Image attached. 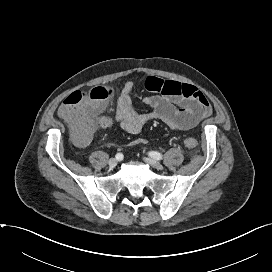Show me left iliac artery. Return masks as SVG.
<instances>
[{
	"mask_svg": "<svg viewBox=\"0 0 272 272\" xmlns=\"http://www.w3.org/2000/svg\"><path fill=\"white\" fill-rule=\"evenodd\" d=\"M149 156H151L153 159H156V160H161L162 159V154L157 152V151L149 152Z\"/></svg>",
	"mask_w": 272,
	"mask_h": 272,
	"instance_id": "44dca946",
	"label": "left iliac artery"
}]
</instances>
